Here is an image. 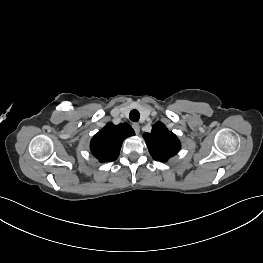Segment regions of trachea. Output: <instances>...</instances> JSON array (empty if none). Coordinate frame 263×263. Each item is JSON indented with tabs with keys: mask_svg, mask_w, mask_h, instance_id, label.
<instances>
[{
	"mask_svg": "<svg viewBox=\"0 0 263 263\" xmlns=\"http://www.w3.org/2000/svg\"><path fill=\"white\" fill-rule=\"evenodd\" d=\"M129 118L133 122H137L140 118V114L137 110H132L129 114Z\"/></svg>",
	"mask_w": 263,
	"mask_h": 263,
	"instance_id": "1",
	"label": "trachea"
}]
</instances>
